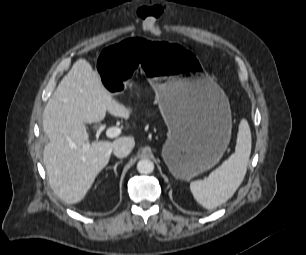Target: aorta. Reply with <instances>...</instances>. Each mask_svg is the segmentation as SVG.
Wrapping results in <instances>:
<instances>
[{"label": "aorta", "instance_id": "1", "mask_svg": "<svg viewBox=\"0 0 306 255\" xmlns=\"http://www.w3.org/2000/svg\"><path fill=\"white\" fill-rule=\"evenodd\" d=\"M137 170L141 174H150L154 170V164L149 159H141L137 163Z\"/></svg>", "mask_w": 306, "mask_h": 255}]
</instances>
